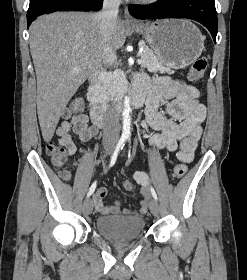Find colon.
<instances>
[{
    "label": "colon",
    "instance_id": "1",
    "mask_svg": "<svg viewBox=\"0 0 247 280\" xmlns=\"http://www.w3.org/2000/svg\"><path fill=\"white\" fill-rule=\"evenodd\" d=\"M207 68V61L204 58L197 59L192 64L188 77L191 81H199L204 76V73ZM70 112L74 115H83L84 107L83 102L80 99H74L69 106ZM47 153L52 158L53 163L56 166H63L67 160V150L65 146L61 142H54L50 141L47 143L46 146ZM66 171L61 172V176ZM187 172V166L185 163L180 162L178 163L173 169V178L174 179H181ZM123 188L126 191H131L133 189V183L130 180H125L123 182Z\"/></svg>",
    "mask_w": 247,
    "mask_h": 280
}]
</instances>
